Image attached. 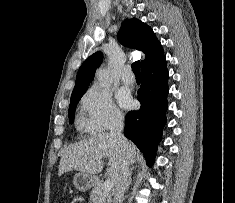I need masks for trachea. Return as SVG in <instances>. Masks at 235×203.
Masks as SVG:
<instances>
[{
	"mask_svg": "<svg viewBox=\"0 0 235 203\" xmlns=\"http://www.w3.org/2000/svg\"><path fill=\"white\" fill-rule=\"evenodd\" d=\"M132 71L135 76H140V64L139 61H136L132 64Z\"/></svg>",
	"mask_w": 235,
	"mask_h": 203,
	"instance_id": "trachea-1",
	"label": "trachea"
}]
</instances>
